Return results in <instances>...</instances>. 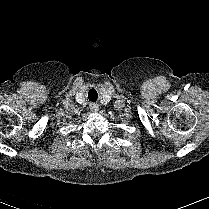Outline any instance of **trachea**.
Listing matches in <instances>:
<instances>
[{"instance_id": "1", "label": "trachea", "mask_w": 209, "mask_h": 209, "mask_svg": "<svg viewBox=\"0 0 209 209\" xmlns=\"http://www.w3.org/2000/svg\"><path fill=\"white\" fill-rule=\"evenodd\" d=\"M97 98H98L97 91L94 88L90 89V91L88 92L89 101L95 102Z\"/></svg>"}]
</instances>
